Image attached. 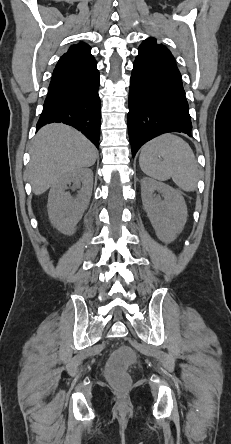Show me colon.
<instances>
[{
    "mask_svg": "<svg viewBox=\"0 0 231 444\" xmlns=\"http://www.w3.org/2000/svg\"><path fill=\"white\" fill-rule=\"evenodd\" d=\"M133 360L134 352L128 346L121 347L112 353L107 363L106 373L113 385L119 388H125L129 385L130 379L127 368Z\"/></svg>",
    "mask_w": 231,
    "mask_h": 444,
    "instance_id": "obj_1",
    "label": "colon"
}]
</instances>
